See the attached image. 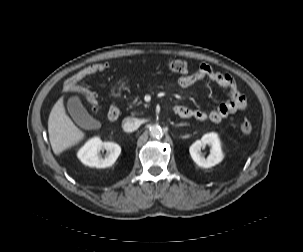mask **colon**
I'll return each instance as SVG.
<instances>
[{
    "instance_id": "5ec220e1",
    "label": "colon",
    "mask_w": 303,
    "mask_h": 252,
    "mask_svg": "<svg viewBox=\"0 0 303 252\" xmlns=\"http://www.w3.org/2000/svg\"><path fill=\"white\" fill-rule=\"evenodd\" d=\"M166 67L169 71L175 73H186L188 71L187 62L179 59L169 60L166 64ZM110 66L107 63H96L87 66L86 68L78 71L70 79L66 81V86L70 91L76 93H82L85 99L90 103L92 108L96 110L97 108V95L93 92H83V90L78 87L77 82L83 77L94 75V74H103L109 70ZM240 131L243 135H250L253 131L252 124L248 120H243L240 124Z\"/></svg>"
}]
</instances>
